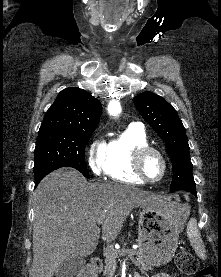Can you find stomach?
Instances as JSON below:
<instances>
[{"instance_id":"0dacf381","label":"stomach","mask_w":221,"mask_h":277,"mask_svg":"<svg viewBox=\"0 0 221 277\" xmlns=\"http://www.w3.org/2000/svg\"><path fill=\"white\" fill-rule=\"evenodd\" d=\"M166 203L165 207H145L140 210L139 252L143 261L150 266L159 267L171 261L189 214L185 206Z\"/></svg>"}]
</instances>
